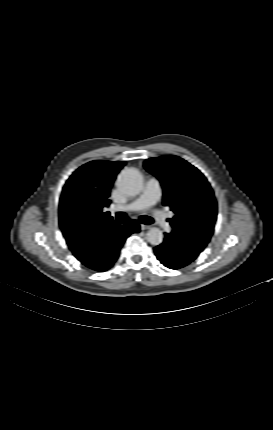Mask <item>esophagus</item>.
Returning a JSON list of instances; mask_svg holds the SVG:
<instances>
[{
  "mask_svg": "<svg viewBox=\"0 0 273 430\" xmlns=\"http://www.w3.org/2000/svg\"><path fill=\"white\" fill-rule=\"evenodd\" d=\"M150 228H151L150 225L141 224V230H147V229H150Z\"/></svg>",
  "mask_w": 273,
  "mask_h": 430,
  "instance_id": "1",
  "label": "esophagus"
}]
</instances>
